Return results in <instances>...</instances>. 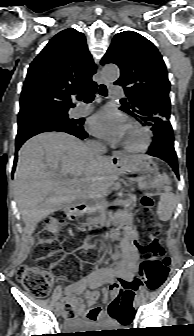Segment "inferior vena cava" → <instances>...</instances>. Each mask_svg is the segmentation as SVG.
<instances>
[{"instance_id": "602c4592", "label": "inferior vena cava", "mask_w": 194, "mask_h": 336, "mask_svg": "<svg viewBox=\"0 0 194 336\" xmlns=\"http://www.w3.org/2000/svg\"><path fill=\"white\" fill-rule=\"evenodd\" d=\"M86 149L92 156H100L106 153V147L99 141H89L86 143Z\"/></svg>"}]
</instances>
